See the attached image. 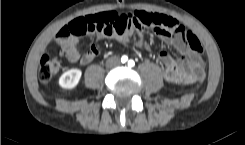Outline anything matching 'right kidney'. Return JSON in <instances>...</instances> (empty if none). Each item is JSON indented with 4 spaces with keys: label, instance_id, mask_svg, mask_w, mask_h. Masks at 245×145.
I'll return each mask as SVG.
<instances>
[{
    "label": "right kidney",
    "instance_id": "1",
    "mask_svg": "<svg viewBox=\"0 0 245 145\" xmlns=\"http://www.w3.org/2000/svg\"><path fill=\"white\" fill-rule=\"evenodd\" d=\"M81 75L80 69H70L60 76L58 84L64 89H73L79 83Z\"/></svg>",
    "mask_w": 245,
    "mask_h": 145
}]
</instances>
